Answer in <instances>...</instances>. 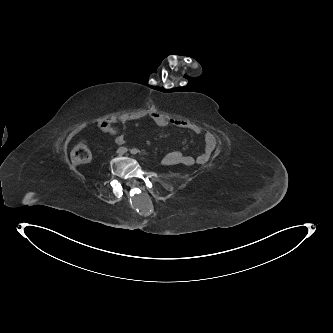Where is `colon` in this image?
Segmentation results:
<instances>
[{
  "mask_svg": "<svg viewBox=\"0 0 333 333\" xmlns=\"http://www.w3.org/2000/svg\"><path fill=\"white\" fill-rule=\"evenodd\" d=\"M92 158L91 151L85 145H77L71 152V161L75 165L86 164ZM183 153L180 150H174L162 157V162H170L174 159H182Z\"/></svg>",
  "mask_w": 333,
  "mask_h": 333,
  "instance_id": "1",
  "label": "colon"
}]
</instances>
